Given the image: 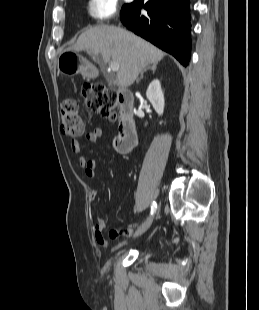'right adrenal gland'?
I'll use <instances>...</instances> for the list:
<instances>
[{
  "label": "right adrenal gland",
  "instance_id": "right-adrenal-gland-1",
  "mask_svg": "<svg viewBox=\"0 0 259 310\" xmlns=\"http://www.w3.org/2000/svg\"><path fill=\"white\" fill-rule=\"evenodd\" d=\"M156 68H157V63L153 64L151 67H146V68H144V69L141 71L140 78L137 79V82H139V80L143 78L144 72H146L148 69H150V70L152 71V73H155Z\"/></svg>",
  "mask_w": 259,
  "mask_h": 310
}]
</instances>
